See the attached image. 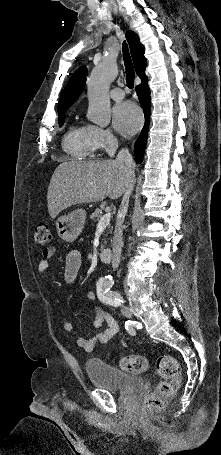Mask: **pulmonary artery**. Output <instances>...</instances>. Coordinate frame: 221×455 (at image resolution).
<instances>
[{"mask_svg":"<svg viewBox=\"0 0 221 455\" xmlns=\"http://www.w3.org/2000/svg\"><path fill=\"white\" fill-rule=\"evenodd\" d=\"M110 96L113 100L115 101H120L124 98V92L121 88L119 87H116L114 89L111 90L110 92Z\"/></svg>","mask_w":221,"mask_h":455,"instance_id":"obj_1","label":"pulmonary artery"}]
</instances>
